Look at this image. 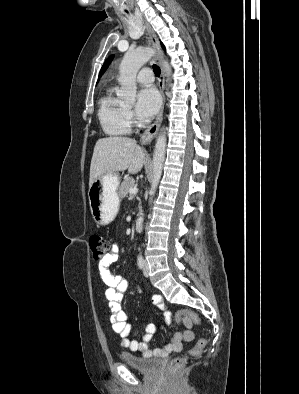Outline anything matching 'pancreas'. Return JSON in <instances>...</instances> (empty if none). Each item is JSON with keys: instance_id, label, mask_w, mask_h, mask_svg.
Masks as SVG:
<instances>
[{"instance_id": "cf45deb5", "label": "pancreas", "mask_w": 299, "mask_h": 394, "mask_svg": "<svg viewBox=\"0 0 299 394\" xmlns=\"http://www.w3.org/2000/svg\"><path fill=\"white\" fill-rule=\"evenodd\" d=\"M136 186V182L132 177H127L124 179V181L121 183V186L119 188V197L124 198L130 193V189ZM141 208V207H139Z\"/></svg>"}]
</instances>
